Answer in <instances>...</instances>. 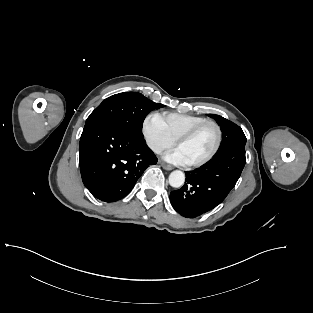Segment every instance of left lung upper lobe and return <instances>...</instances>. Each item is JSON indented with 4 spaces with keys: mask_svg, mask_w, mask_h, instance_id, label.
I'll return each instance as SVG.
<instances>
[{
    "mask_svg": "<svg viewBox=\"0 0 313 313\" xmlns=\"http://www.w3.org/2000/svg\"><path fill=\"white\" fill-rule=\"evenodd\" d=\"M208 116L218 122L223 133L222 142L216 154L237 146L245 147L246 137L238 125L219 115L208 114Z\"/></svg>",
    "mask_w": 313,
    "mask_h": 313,
    "instance_id": "obj_1",
    "label": "left lung upper lobe"
}]
</instances>
